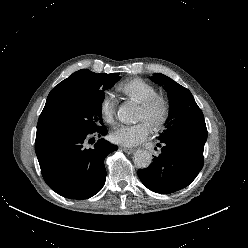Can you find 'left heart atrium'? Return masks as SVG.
Instances as JSON below:
<instances>
[{
	"instance_id": "left-heart-atrium-1",
	"label": "left heart atrium",
	"mask_w": 248,
	"mask_h": 248,
	"mask_svg": "<svg viewBox=\"0 0 248 248\" xmlns=\"http://www.w3.org/2000/svg\"><path fill=\"white\" fill-rule=\"evenodd\" d=\"M151 132L146 121L131 125H119L111 133V139L118 144L132 147L145 141Z\"/></svg>"
}]
</instances>
